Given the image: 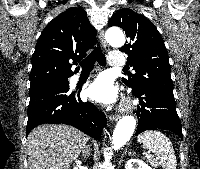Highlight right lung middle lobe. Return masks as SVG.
Instances as JSON below:
<instances>
[{
	"label": "right lung middle lobe",
	"mask_w": 200,
	"mask_h": 169,
	"mask_svg": "<svg viewBox=\"0 0 200 169\" xmlns=\"http://www.w3.org/2000/svg\"><path fill=\"white\" fill-rule=\"evenodd\" d=\"M59 81H66V79H53V80H47V81H43V82H40L36 85H34V87L36 86H43V85H47V84H50V83H56V82H59Z\"/></svg>",
	"instance_id": "obj_1"
}]
</instances>
